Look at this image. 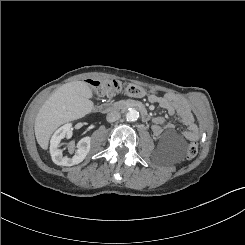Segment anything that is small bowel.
I'll list each match as a JSON object with an SVG mask.
<instances>
[{
	"instance_id": "obj_1",
	"label": "small bowel",
	"mask_w": 245,
	"mask_h": 245,
	"mask_svg": "<svg viewBox=\"0 0 245 245\" xmlns=\"http://www.w3.org/2000/svg\"><path fill=\"white\" fill-rule=\"evenodd\" d=\"M149 101L158 103L160 107L167 110L170 115L177 114L180 122L187 127L184 137L189 141H197L200 138V131L195 122L187 102L174 93H167L163 96L150 95ZM174 124L163 117H155L153 120L152 132L155 137L162 135L164 129L171 130Z\"/></svg>"
}]
</instances>
